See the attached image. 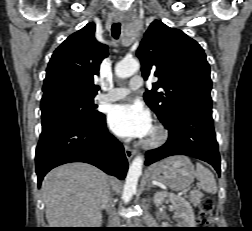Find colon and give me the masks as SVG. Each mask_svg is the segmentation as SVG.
Returning <instances> with one entry per match:
<instances>
[{
	"label": "colon",
	"mask_w": 252,
	"mask_h": 231,
	"mask_svg": "<svg viewBox=\"0 0 252 231\" xmlns=\"http://www.w3.org/2000/svg\"><path fill=\"white\" fill-rule=\"evenodd\" d=\"M213 210V199L209 196L203 197L199 202L198 223L202 226H208L211 223Z\"/></svg>",
	"instance_id": "colon-1"
}]
</instances>
